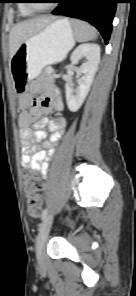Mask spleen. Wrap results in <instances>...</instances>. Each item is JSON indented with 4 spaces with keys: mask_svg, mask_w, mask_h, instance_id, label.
I'll list each match as a JSON object with an SVG mask.
<instances>
[{
    "mask_svg": "<svg viewBox=\"0 0 136 296\" xmlns=\"http://www.w3.org/2000/svg\"><path fill=\"white\" fill-rule=\"evenodd\" d=\"M75 38L78 41H89L97 38V31L88 23L80 20H71Z\"/></svg>",
    "mask_w": 136,
    "mask_h": 296,
    "instance_id": "1",
    "label": "spleen"
}]
</instances>
